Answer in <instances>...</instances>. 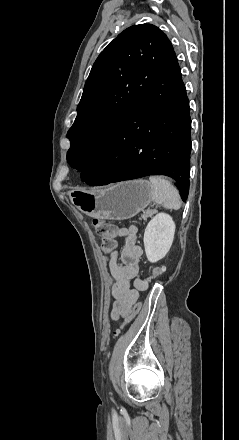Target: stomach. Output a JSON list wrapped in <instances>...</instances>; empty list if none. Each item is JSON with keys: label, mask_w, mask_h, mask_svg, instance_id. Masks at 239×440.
I'll list each match as a JSON object with an SVG mask.
<instances>
[{"label": "stomach", "mask_w": 239, "mask_h": 440, "mask_svg": "<svg viewBox=\"0 0 239 440\" xmlns=\"http://www.w3.org/2000/svg\"><path fill=\"white\" fill-rule=\"evenodd\" d=\"M153 186L147 180L119 182L108 188L75 190L74 204L80 212L99 220H129L153 202Z\"/></svg>", "instance_id": "1"}]
</instances>
